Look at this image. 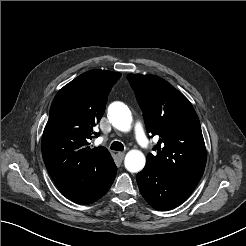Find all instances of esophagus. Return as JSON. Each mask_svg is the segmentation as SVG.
I'll list each match as a JSON object with an SVG mask.
<instances>
[{
	"label": "esophagus",
	"mask_w": 246,
	"mask_h": 246,
	"mask_svg": "<svg viewBox=\"0 0 246 246\" xmlns=\"http://www.w3.org/2000/svg\"><path fill=\"white\" fill-rule=\"evenodd\" d=\"M124 156H125V153H124V152H118V153H117V157H118L120 160H122V159L124 158Z\"/></svg>",
	"instance_id": "obj_1"
}]
</instances>
